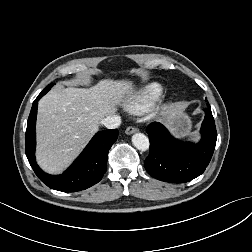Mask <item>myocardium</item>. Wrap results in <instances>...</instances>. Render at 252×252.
<instances>
[{
  "label": "myocardium",
  "mask_w": 252,
  "mask_h": 252,
  "mask_svg": "<svg viewBox=\"0 0 252 252\" xmlns=\"http://www.w3.org/2000/svg\"><path fill=\"white\" fill-rule=\"evenodd\" d=\"M160 109L161 107H155L153 110H152V117H157L159 112H160Z\"/></svg>",
  "instance_id": "myocardium-1"
}]
</instances>
